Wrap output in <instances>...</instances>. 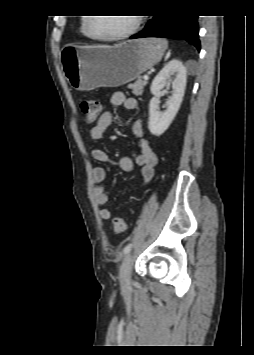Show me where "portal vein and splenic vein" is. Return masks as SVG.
<instances>
[{"label": "portal vein and splenic vein", "instance_id": "portal-vein-and-splenic-vein-1", "mask_svg": "<svg viewBox=\"0 0 254 355\" xmlns=\"http://www.w3.org/2000/svg\"><path fill=\"white\" fill-rule=\"evenodd\" d=\"M143 79H144V80H148V79H149L148 75H144V76H143Z\"/></svg>", "mask_w": 254, "mask_h": 355}]
</instances>
